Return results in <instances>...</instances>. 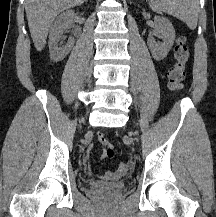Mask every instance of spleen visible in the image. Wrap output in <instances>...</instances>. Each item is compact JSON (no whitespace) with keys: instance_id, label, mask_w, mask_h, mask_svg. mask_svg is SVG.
<instances>
[{"instance_id":"obj_1","label":"spleen","mask_w":216,"mask_h":217,"mask_svg":"<svg viewBox=\"0 0 216 217\" xmlns=\"http://www.w3.org/2000/svg\"><path fill=\"white\" fill-rule=\"evenodd\" d=\"M155 5L163 12L176 17L194 30L199 15V0H155Z\"/></svg>"}]
</instances>
